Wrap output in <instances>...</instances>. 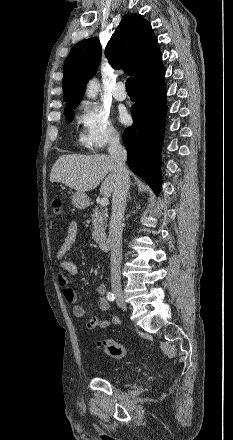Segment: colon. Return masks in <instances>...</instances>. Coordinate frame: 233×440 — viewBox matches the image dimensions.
<instances>
[{
    "mask_svg": "<svg viewBox=\"0 0 233 440\" xmlns=\"http://www.w3.org/2000/svg\"><path fill=\"white\" fill-rule=\"evenodd\" d=\"M52 214L56 217H60L63 214V203L60 200H54L51 204ZM99 348L103 349L104 352L116 359H122L126 357L128 351L125 346L116 342L113 339H102L97 342Z\"/></svg>",
    "mask_w": 233,
    "mask_h": 440,
    "instance_id": "5ec220e1",
    "label": "colon"
}]
</instances>
